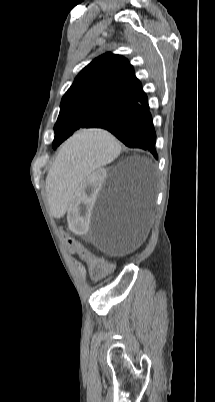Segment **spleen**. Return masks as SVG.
I'll return each mask as SVG.
<instances>
[{"instance_id": "obj_1", "label": "spleen", "mask_w": 215, "mask_h": 402, "mask_svg": "<svg viewBox=\"0 0 215 402\" xmlns=\"http://www.w3.org/2000/svg\"><path fill=\"white\" fill-rule=\"evenodd\" d=\"M119 150L109 128H79L78 133L62 143L48 177V190L53 196L49 214L65 215L73 202L71 193H79L81 184L114 159Z\"/></svg>"}]
</instances>
